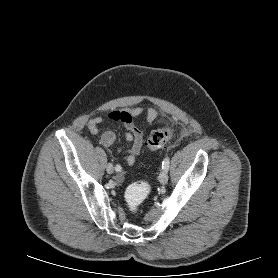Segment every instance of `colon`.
<instances>
[{"label": "colon", "mask_w": 278, "mask_h": 278, "mask_svg": "<svg viewBox=\"0 0 278 278\" xmlns=\"http://www.w3.org/2000/svg\"><path fill=\"white\" fill-rule=\"evenodd\" d=\"M174 137V131L171 128L164 127L154 130L146 140V147L149 150H158L168 143ZM151 186L148 182L140 181L129 185L125 192V200L129 211L132 214L139 212L142 203L149 195Z\"/></svg>", "instance_id": "5ec220e1"}]
</instances>
